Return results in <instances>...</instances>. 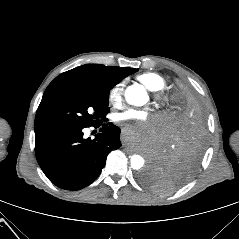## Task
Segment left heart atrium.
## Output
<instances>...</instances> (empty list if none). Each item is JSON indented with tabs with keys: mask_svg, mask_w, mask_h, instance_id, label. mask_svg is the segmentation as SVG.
<instances>
[{
	"mask_svg": "<svg viewBox=\"0 0 239 239\" xmlns=\"http://www.w3.org/2000/svg\"><path fill=\"white\" fill-rule=\"evenodd\" d=\"M114 120L117 122H124L127 120H135L140 124L143 128L149 129L154 126V123L158 120L155 115L149 114L146 110H138V109H128L120 113H116L114 115ZM126 130L129 134H131L132 138L138 134L134 125H127Z\"/></svg>",
	"mask_w": 239,
	"mask_h": 239,
	"instance_id": "left-heart-atrium-1",
	"label": "left heart atrium"
}]
</instances>
